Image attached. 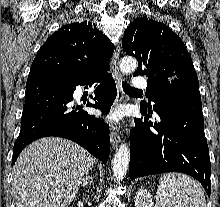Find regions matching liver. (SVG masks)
<instances>
[{
	"instance_id": "liver-1",
	"label": "liver",
	"mask_w": 220,
	"mask_h": 207,
	"mask_svg": "<svg viewBox=\"0 0 220 207\" xmlns=\"http://www.w3.org/2000/svg\"><path fill=\"white\" fill-rule=\"evenodd\" d=\"M94 159L78 144L58 137L27 146L13 167L16 207H68Z\"/></svg>"
}]
</instances>
